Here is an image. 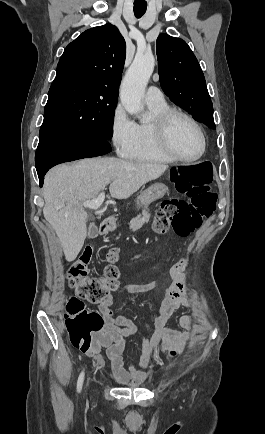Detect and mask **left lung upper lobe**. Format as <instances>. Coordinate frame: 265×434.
Wrapping results in <instances>:
<instances>
[{"label": "left lung upper lobe", "instance_id": "1", "mask_svg": "<svg viewBox=\"0 0 265 434\" xmlns=\"http://www.w3.org/2000/svg\"><path fill=\"white\" fill-rule=\"evenodd\" d=\"M160 84L193 118L215 129L213 105L201 67L185 41L160 34L156 41Z\"/></svg>", "mask_w": 265, "mask_h": 434}]
</instances>
